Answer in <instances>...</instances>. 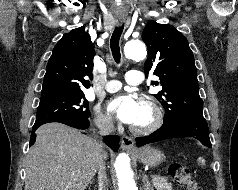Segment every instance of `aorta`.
Masks as SVG:
<instances>
[{
  "instance_id": "obj_1",
  "label": "aorta",
  "mask_w": 238,
  "mask_h": 190,
  "mask_svg": "<svg viewBox=\"0 0 238 190\" xmlns=\"http://www.w3.org/2000/svg\"><path fill=\"white\" fill-rule=\"evenodd\" d=\"M124 52L126 58L133 60L144 59L147 55L146 47L140 40L128 41L124 47ZM114 166L119 179L118 190H138L130 169L128 155L124 153L119 154Z\"/></svg>"
}]
</instances>
